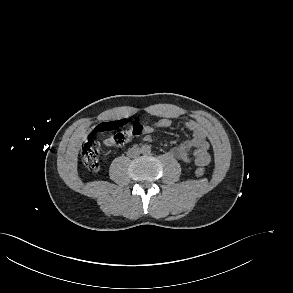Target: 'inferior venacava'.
Here are the masks:
<instances>
[{"instance_id": "602c4592", "label": "inferior vena cava", "mask_w": 293, "mask_h": 293, "mask_svg": "<svg viewBox=\"0 0 293 293\" xmlns=\"http://www.w3.org/2000/svg\"><path fill=\"white\" fill-rule=\"evenodd\" d=\"M140 154V150L138 148H130L127 152V156L133 158V157H136Z\"/></svg>"}]
</instances>
